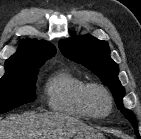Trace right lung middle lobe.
I'll use <instances>...</instances> for the list:
<instances>
[{
    "label": "right lung middle lobe",
    "instance_id": "obj_1",
    "mask_svg": "<svg viewBox=\"0 0 141 139\" xmlns=\"http://www.w3.org/2000/svg\"><path fill=\"white\" fill-rule=\"evenodd\" d=\"M38 66L6 69L0 79V114L36 99L35 83Z\"/></svg>",
    "mask_w": 141,
    "mask_h": 139
}]
</instances>
